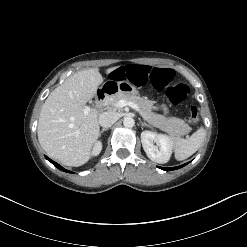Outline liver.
<instances>
[{"label": "liver", "mask_w": 247, "mask_h": 247, "mask_svg": "<svg viewBox=\"0 0 247 247\" xmlns=\"http://www.w3.org/2000/svg\"><path fill=\"white\" fill-rule=\"evenodd\" d=\"M116 69L109 68L106 74ZM102 83L99 69L90 68L68 77L50 93L38 121V140L48 156L74 167L89 160L100 127L98 111L84 115V107Z\"/></svg>", "instance_id": "liver-1"}]
</instances>
